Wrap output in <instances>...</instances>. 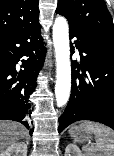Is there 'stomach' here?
<instances>
[{
    "mask_svg": "<svg viewBox=\"0 0 114 156\" xmlns=\"http://www.w3.org/2000/svg\"><path fill=\"white\" fill-rule=\"evenodd\" d=\"M69 133L75 142H79V143L90 142L91 134L83 132L80 125H75L71 127L69 129Z\"/></svg>",
    "mask_w": 114,
    "mask_h": 156,
    "instance_id": "1",
    "label": "stomach"
}]
</instances>
